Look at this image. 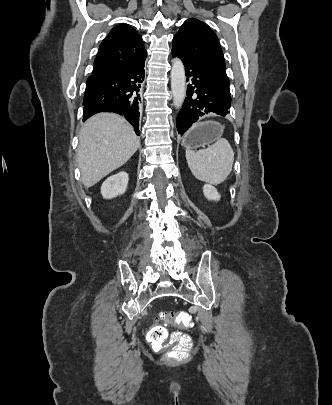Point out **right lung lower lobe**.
I'll use <instances>...</instances> for the list:
<instances>
[{"label":"right lung lower lobe","mask_w":332,"mask_h":405,"mask_svg":"<svg viewBox=\"0 0 332 405\" xmlns=\"http://www.w3.org/2000/svg\"><path fill=\"white\" fill-rule=\"evenodd\" d=\"M144 61L121 70L93 73L87 79L83 121L98 112H114L125 116L139 135Z\"/></svg>","instance_id":"right-lung-lower-lobe-1"}]
</instances>
